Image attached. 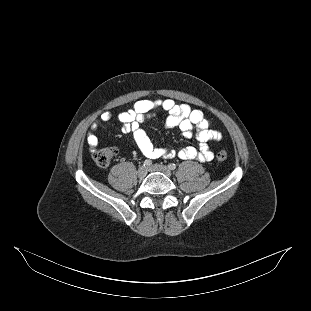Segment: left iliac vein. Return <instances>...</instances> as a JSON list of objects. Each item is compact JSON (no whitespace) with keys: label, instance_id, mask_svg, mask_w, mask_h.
Masks as SVG:
<instances>
[{"label":"left iliac vein","instance_id":"left-iliac-vein-1","mask_svg":"<svg viewBox=\"0 0 311 311\" xmlns=\"http://www.w3.org/2000/svg\"><path fill=\"white\" fill-rule=\"evenodd\" d=\"M148 170L151 172H161L165 174L166 176H171L170 169L166 167L165 165L154 164L150 166Z\"/></svg>","mask_w":311,"mask_h":311}]
</instances>
